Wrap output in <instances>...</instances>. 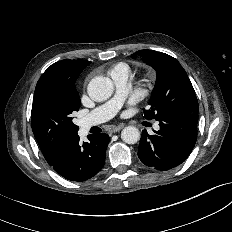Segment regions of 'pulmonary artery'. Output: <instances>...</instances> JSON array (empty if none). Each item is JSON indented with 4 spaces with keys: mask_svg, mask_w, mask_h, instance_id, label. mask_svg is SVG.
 Returning <instances> with one entry per match:
<instances>
[{
    "mask_svg": "<svg viewBox=\"0 0 232 232\" xmlns=\"http://www.w3.org/2000/svg\"><path fill=\"white\" fill-rule=\"evenodd\" d=\"M129 72L118 71L111 74L116 86L115 96L105 104L92 110L87 116L81 120V128L85 132L92 126L101 124L116 115L120 109L122 102L129 91L128 81ZM158 128V125H155Z\"/></svg>",
    "mask_w": 232,
    "mask_h": 232,
    "instance_id": "e3ab8cb5",
    "label": "pulmonary artery"
}]
</instances>
